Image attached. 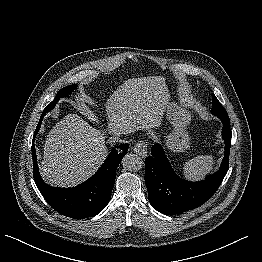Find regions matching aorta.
I'll use <instances>...</instances> for the list:
<instances>
[{"mask_svg": "<svg viewBox=\"0 0 262 262\" xmlns=\"http://www.w3.org/2000/svg\"><path fill=\"white\" fill-rule=\"evenodd\" d=\"M122 165L129 171H137L142 168L143 161L138 155L130 153L124 156Z\"/></svg>", "mask_w": 262, "mask_h": 262, "instance_id": "aorta-1", "label": "aorta"}]
</instances>
